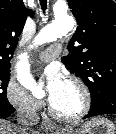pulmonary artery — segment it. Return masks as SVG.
<instances>
[{
    "label": "pulmonary artery",
    "instance_id": "pulmonary-artery-1",
    "mask_svg": "<svg viewBox=\"0 0 116 134\" xmlns=\"http://www.w3.org/2000/svg\"><path fill=\"white\" fill-rule=\"evenodd\" d=\"M62 47L58 44L53 45L39 53V58L44 62L54 60L61 52Z\"/></svg>",
    "mask_w": 116,
    "mask_h": 134
}]
</instances>
